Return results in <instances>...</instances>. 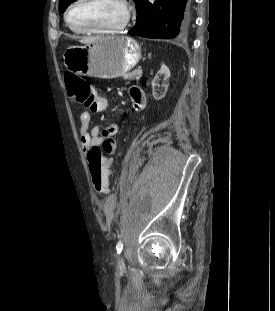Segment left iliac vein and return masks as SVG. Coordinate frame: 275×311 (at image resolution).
I'll list each match as a JSON object with an SVG mask.
<instances>
[{"label": "left iliac vein", "instance_id": "left-iliac-vein-1", "mask_svg": "<svg viewBox=\"0 0 275 311\" xmlns=\"http://www.w3.org/2000/svg\"><path fill=\"white\" fill-rule=\"evenodd\" d=\"M117 265H118L119 268H123L124 267V261H123L122 258H118Z\"/></svg>", "mask_w": 275, "mask_h": 311}]
</instances>
